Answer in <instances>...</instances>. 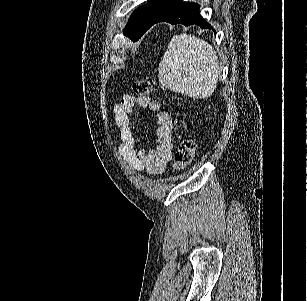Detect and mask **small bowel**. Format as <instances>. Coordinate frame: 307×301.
<instances>
[{
	"label": "small bowel",
	"mask_w": 307,
	"mask_h": 301,
	"mask_svg": "<svg viewBox=\"0 0 307 301\" xmlns=\"http://www.w3.org/2000/svg\"><path fill=\"white\" fill-rule=\"evenodd\" d=\"M136 107L148 108L157 114L156 140L154 149L146 152L137 147L133 136L131 115ZM113 119L119 129L117 150L125 162L138 171L151 175L164 172L172 158V118L160 104L147 96L124 95L113 107Z\"/></svg>",
	"instance_id": "1"
}]
</instances>
